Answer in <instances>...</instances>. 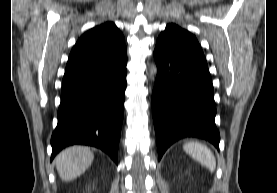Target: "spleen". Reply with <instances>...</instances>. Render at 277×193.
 Segmentation results:
<instances>
[{
  "mask_svg": "<svg viewBox=\"0 0 277 193\" xmlns=\"http://www.w3.org/2000/svg\"><path fill=\"white\" fill-rule=\"evenodd\" d=\"M184 151L203 166L214 172L216 159L212 151L199 142H188L183 146Z\"/></svg>",
  "mask_w": 277,
  "mask_h": 193,
  "instance_id": "obj_1",
  "label": "spleen"
}]
</instances>
